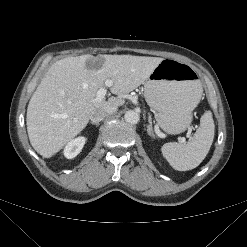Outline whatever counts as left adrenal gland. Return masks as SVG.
I'll return each instance as SVG.
<instances>
[{
	"label": "left adrenal gland",
	"instance_id": "a2214340",
	"mask_svg": "<svg viewBox=\"0 0 247 247\" xmlns=\"http://www.w3.org/2000/svg\"><path fill=\"white\" fill-rule=\"evenodd\" d=\"M148 122H149V125L147 126V132L150 136L152 137H155V135L153 134V129H152V118H151V115H149L148 117Z\"/></svg>",
	"mask_w": 247,
	"mask_h": 247
}]
</instances>
